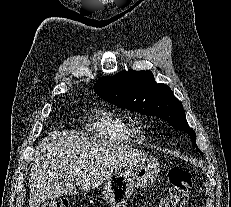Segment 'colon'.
<instances>
[{"label": "colon", "mask_w": 231, "mask_h": 207, "mask_svg": "<svg viewBox=\"0 0 231 207\" xmlns=\"http://www.w3.org/2000/svg\"><path fill=\"white\" fill-rule=\"evenodd\" d=\"M170 187L163 198L161 207H185L193 187L190 172L180 167H173L168 174ZM43 207H69L64 199H51Z\"/></svg>", "instance_id": "colon-1"}]
</instances>
